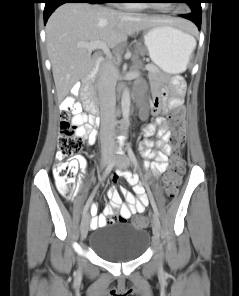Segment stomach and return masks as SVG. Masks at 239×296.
<instances>
[{
	"mask_svg": "<svg viewBox=\"0 0 239 296\" xmlns=\"http://www.w3.org/2000/svg\"><path fill=\"white\" fill-rule=\"evenodd\" d=\"M191 38V35L170 25L155 26L144 33L149 57L167 74H178L186 69Z\"/></svg>",
	"mask_w": 239,
	"mask_h": 296,
	"instance_id": "0dacf381",
	"label": "stomach"
}]
</instances>
